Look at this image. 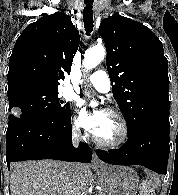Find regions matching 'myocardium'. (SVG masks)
Returning a JSON list of instances; mask_svg holds the SVG:
<instances>
[{"label": "myocardium", "mask_w": 178, "mask_h": 195, "mask_svg": "<svg viewBox=\"0 0 178 195\" xmlns=\"http://www.w3.org/2000/svg\"><path fill=\"white\" fill-rule=\"evenodd\" d=\"M106 113L111 115L112 117H114L117 120V123L120 127V136L119 138H117L114 141H104L101 140L100 138H98L96 135H94L93 139L95 141V143L101 147H105V148H118L122 145H124L128 138H129V128L128 125L126 123V121L124 120V118L122 117V115L117 112L114 109H107Z\"/></svg>", "instance_id": "obj_1"}]
</instances>
